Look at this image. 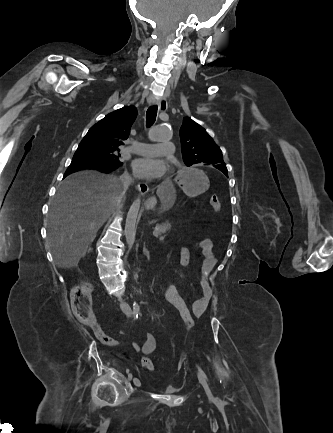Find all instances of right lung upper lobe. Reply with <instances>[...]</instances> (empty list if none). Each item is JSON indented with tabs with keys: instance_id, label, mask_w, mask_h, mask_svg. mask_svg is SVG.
Masks as SVG:
<instances>
[{
	"instance_id": "cb5924a9",
	"label": "right lung upper lobe",
	"mask_w": 333,
	"mask_h": 433,
	"mask_svg": "<svg viewBox=\"0 0 333 433\" xmlns=\"http://www.w3.org/2000/svg\"><path fill=\"white\" fill-rule=\"evenodd\" d=\"M137 116L135 106H125L106 115L92 126L83 140L101 148L118 149L130 134Z\"/></svg>"
}]
</instances>
